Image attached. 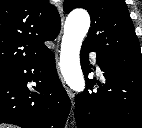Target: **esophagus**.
Wrapping results in <instances>:
<instances>
[{
	"instance_id": "1",
	"label": "esophagus",
	"mask_w": 142,
	"mask_h": 128,
	"mask_svg": "<svg viewBox=\"0 0 142 128\" xmlns=\"http://www.w3.org/2000/svg\"><path fill=\"white\" fill-rule=\"evenodd\" d=\"M59 13H60V16H61V21H62V26H63L64 14H63L62 5H59ZM61 34H62V31L60 32V35H59V37H58V42H59V40H60ZM57 52H58V51L56 50V61L58 62V53H57ZM60 78H61V77H60ZM61 81H62L63 85L65 86L64 81H63L62 78H61ZM65 88H66L67 94H68V96L70 97L71 101H73V98H74L73 92H72L70 89H68L67 87H65Z\"/></svg>"
}]
</instances>
